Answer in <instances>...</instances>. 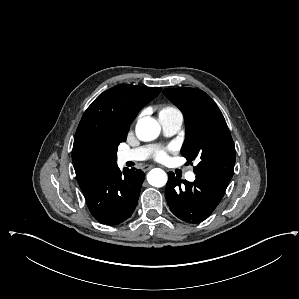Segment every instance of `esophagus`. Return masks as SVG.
Returning a JSON list of instances; mask_svg holds the SVG:
<instances>
[{
  "label": "esophagus",
  "instance_id": "1",
  "mask_svg": "<svg viewBox=\"0 0 299 299\" xmlns=\"http://www.w3.org/2000/svg\"><path fill=\"white\" fill-rule=\"evenodd\" d=\"M152 167H153L152 165H144V166H142V170H143L144 172H147V171L150 170Z\"/></svg>",
  "mask_w": 299,
  "mask_h": 299
}]
</instances>
